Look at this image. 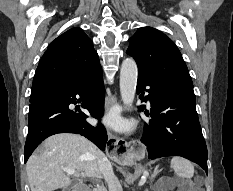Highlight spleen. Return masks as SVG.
I'll use <instances>...</instances> for the list:
<instances>
[{
  "instance_id": "3e777b00",
  "label": "spleen",
  "mask_w": 233,
  "mask_h": 191,
  "mask_svg": "<svg viewBox=\"0 0 233 191\" xmlns=\"http://www.w3.org/2000/svg\"><path fill=\"white\" fill-rule=\"evenodd\" d=\"M171 168L180 178L190 179L194 175V166L189 160L182 157H173L171 160Z\"/></svg>"
}]
</instances>
